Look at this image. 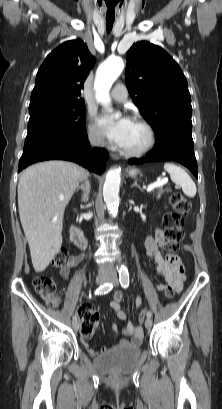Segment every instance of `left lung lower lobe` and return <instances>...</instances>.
I'll list each match as a JSON object with an SVG mask.
<instances>
[{
    "label": "left lung lower lobe",
    "mask_w": 222,
    "mask_h": 409,
    "mask_svg": "<svg viewBox=\"0 0 222 409\" xmlns=\"http://www.w3.org/2000/svg\"><path fill=\"white\" fill-rule=\"evenodd\" d=\"M155 161H176L186 166L198 178L197 161L191 133L170 131L157 138L152 152L142 159H131L130 164Z\"/></svg>",
    "instance_id": "left-lung-lower-lobe-1"
}]
</instances>
